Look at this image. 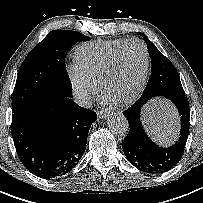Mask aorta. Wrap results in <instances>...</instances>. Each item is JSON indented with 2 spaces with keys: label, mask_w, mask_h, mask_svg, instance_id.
<instances>
[{
  "label": "aorta",
  "mask_w": 203,
  "mask_h": 203,
  "mask_svg": "<svg viewBox=\"0 0 203 203\" xmlns=\"http://www.w3.org/2000/svg\"><path fill=\"white\" fill-rule=\"evenodd\" d=\"M109 129L118 135H125L129 130L127 118L122 113H112L108 118Z\"/></svg>",
  "instance_id": "obj_1"
}]
</instances>
